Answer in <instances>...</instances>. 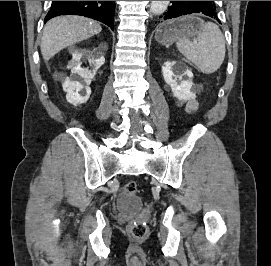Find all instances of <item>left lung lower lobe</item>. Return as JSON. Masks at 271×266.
<instances>
[{
    "mask_svg": "<svg viewBox=\"0 0 271 266\" xmlns=\"http://www.w3.org/2000/svg\"><path fill=\"white\" fill-rule=\"evenodd\" d=\"M172 4L167 12L159 18L162 21L191 13H203L219 23L217 8L214 1H170Z\"/></svg>",
    "mask_w": 271,
    "mask_h": 266,
    "instance_id": "1",
    "label": "left lung lower lobe"
}]
</instances>
